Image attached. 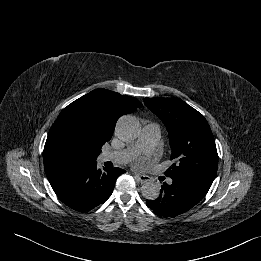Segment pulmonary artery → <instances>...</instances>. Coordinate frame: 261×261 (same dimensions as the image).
I'll list each match as a JSON object with an SVG mask.
<instances>
[{
	"label": "pulmonary artery",
	"mask_w": 261,
	"mask_h": 261,
	"mask_svg": "<svg viewBox=\"0 0 261 261\" xmlns=\"http://www.w3.org/2000/svg\"><path fill=\"white\" fill-rule=\"evenodd\" d=\"M160 137V126L156 123H148L143 127L140 137L134 146L124 150L105 152L100 156V161L126 164L130 162L139 152H148L153 150L158 144ZM168 183L171 184L172 180L168 179Z\"/></svg>",
	"instance_id": "pulmonary-artery-1"
}]
</instances>
